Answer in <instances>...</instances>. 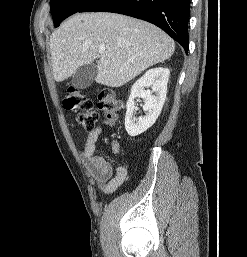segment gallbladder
<instances>
[{
    "instance_id": "1",
    "label": "gallbladder",
    "mask_w": 247,
    "mask_h": 257,
    "mask_svg": "<svg viewBox=\"0 0 247 257\" xmlns=\"http://www.w3.org/2000/svg\"><path fill=\"white\" fill-rule=\"evenodd\" d=\"M97 71V65L94 63L81 66L72 77V85L77 89L87 88L95 80Z\"/></svg>"
}]
</instances>
